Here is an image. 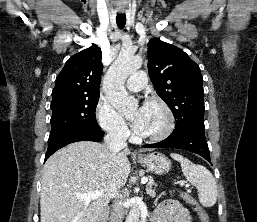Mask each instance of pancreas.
Segmentation results:
<instances>
[{"instance_id":"1","label":"pancreas","mask_w":257,"mask_h":222,"mask_svg":"<svg viewBox=\"0 0 257 222\" xmlns=\"http://www.w3.org/2000/svg\"><path fill=\"white\" fill-rule=\"evenodd\" d=\"M153 186H154V180L150 177L149 182L146 186V192L148 195L154 198L156 196V190L153 188Z\"/></svg>"}]
</instances>
